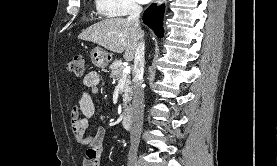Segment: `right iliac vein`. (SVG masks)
I'll return each instance as SVG.
<instances>
[{
	"mask_svg": "<svg viewBox=\"0 0 277 166\" xmlns=\"http://www.w3.org/2000/svg\"><path fill=\"white\" fill-rule=\"evenodd\" d=\"M128 166H138V163H137V162H130V163L128 164Z\"/></svg>",
	"mask_w": 277,
	"mask_h": 166,
	"instance_id": "obj_1",
	"label": "right iliac vein"
}]
</instances>
